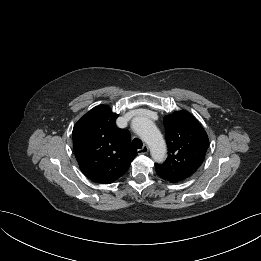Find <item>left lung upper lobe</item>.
<instances>
[{"instance_id":"5c2ea615","label":"left lung upper lobe","mask_w":261,"mask_h":261,"mask_svg":"<svg viewBox=\"0 0 261 261\" xmlns=\"http://www.w3.org/2000/svg\"><path fill=\"white\" fill-rule=\"evenodd\" d=\"M168 158L155 164L156 173L172 183L190 177L202 164L209 146L208 136L198 120L187 111L164 117Z\"/></svg>"}]
</instances>
